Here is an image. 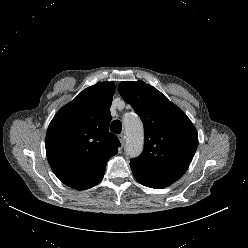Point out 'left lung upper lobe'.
I'll return each mask as SVG.
<instances>
[{"instance_id":"1","label":"left lung upper lobe","mask_w":248,"mask_h":248,"mask_svg":"<svg viewBox=\"0 0 248 248\" xmlns=\"http://www.w3.org/2000/svg\"><path fill=\"white\" fill-rule=\"evenodd\" d=\"M119 92L144 124V150L131 159L136 180L161 189L188 169L198 146L197 131L186 114L160 91L143 81H124Z\"/></svg>"}]
</instances>
